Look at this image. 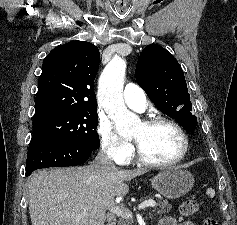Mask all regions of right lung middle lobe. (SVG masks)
Instances as JSON below:
<instances>
[{
	"label": "right lung middle lobe",
	"mask_w": 237,
	"mask_h": 225,
	"mask_svg": "<svg viewBox=\"0 0 237 225\" xmlns=\"http://www.w3.org/2000/svg\"><path fill=\"white\" fill-rule=\"evenodd\" d=\"M97 120V110L56 115L34 121L33 134L62 138L96 150L99 148Z\"/></svg>",
	"instance_id": "1"
}]
</instances>
